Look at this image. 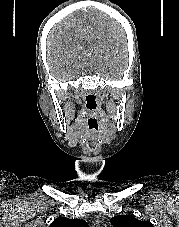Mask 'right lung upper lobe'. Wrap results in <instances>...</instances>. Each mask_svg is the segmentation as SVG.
Segmentation results:
<instances>
[{
  "instance_id": "cb5924a9",
  "label": "right lung upper lobe",
  "mask_w": 179,
  "mask_h": 227,
  "mask_svg": "<svg viewBox=\"0 0 179 227\" xmlns=\"http://www.w3.org/2000/svg\"><path fill=\"white\" fill-rule=\"evenodd\" d=\"M49 227H88V224L83 220L60 217L56 218Z\"/></svg>"
}]
</instances>
